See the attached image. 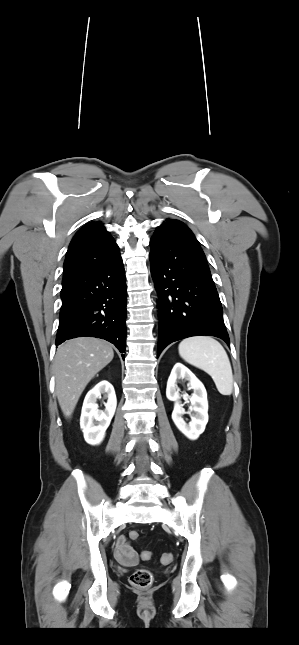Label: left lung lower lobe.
<instances>
[{"label": "left lung lower lobe", "mask_w": 299, "mask_h": 645, "mask_svg": "<svg viewBox=\"0 0 299 645\" xmlns=\"http://www.w3.org/2000/svg\"><path fill=\"white\" fill-rule=\"evenodd\" d=\"M151 274L160 300L158 356L172 342L211 335L230 346L222 305L206 261L192 231L166 220L150 240Z\"/></svg>", "instance_id": "left-lung-lower-lobe-1"}]
</instances>
